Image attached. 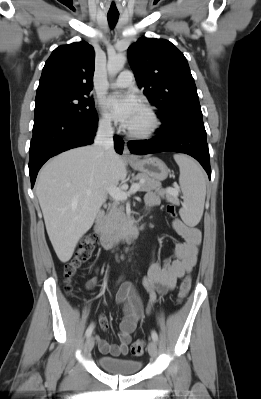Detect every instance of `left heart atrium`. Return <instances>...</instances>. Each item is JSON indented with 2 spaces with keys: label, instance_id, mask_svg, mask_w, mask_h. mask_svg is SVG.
Here are the masks:
<instances>
[{
  "label": "left heart atrium",
  "instance_id": "39dd6f15",
  "mask_svg": "<svg viewBox=\"0 0 261 399\" xmlns=\"http://www.w3.org/2000/svg\"><path fill=\"white\" fill-rule=\"evenodd\" d=\"M103 104L112 118L127 128L143 109L140 100L133 94L111 95Z\"/></svg>",
  "mask_w": 261,
  "mask_h": 399
}]
</instances>
